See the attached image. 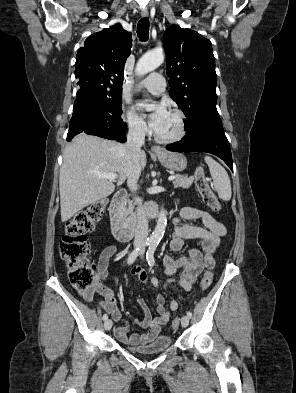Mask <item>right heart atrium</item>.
Listing matches in <instances>:
<instances>
[{
    "mask_svg": "<svg viewBox=\"0 0 296 393\" xmlns=\"http://www.w3.org/2000/svg\"><path fill=\"white\" fill-rule=\"evenodd\" d=\"M125 119L129 131L137 136H145L148 133V127L145 121L133 111L125 112Z\"/></svg>",
    "mask_w": 296,
    "mask_h": 393,
    "instance_id": "obj_1",
    "label": "right heart atrium"
}]
</instances>
